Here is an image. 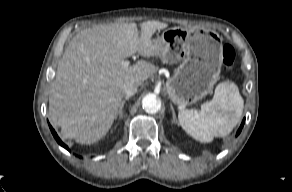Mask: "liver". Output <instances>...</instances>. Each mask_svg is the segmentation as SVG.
<instances>
[{
  "mask_svg": "<svg viewBox=\"0 0 292 192\" xmlns=\"http://www.w3.org/2000/svg\"><path fill=\"white\" fill-rule=\"evenodd\" d=\"M168 24L94 25L78 32L58 62L49 92V119L65 138L93 144L111 128L124 97L123 86L142 85L158 67L145 60L123 67L122 61L139 53L158 56L152 36Z\"/></svg>",
  "mask_w": 292,
  "mask_h": 192,
  "instance_id": "obj_1",
  "label": "liver"
}]
</instances>
